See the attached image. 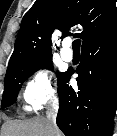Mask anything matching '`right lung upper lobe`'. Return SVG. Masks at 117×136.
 I'll return each mask as SVG.
<instances>
[{
	"label": "right lung upper lobe",
	"instance_id": "cb5924a9",
	"mask_svg": "<svg viewBox=\"0 0 117 136\" xmlns=\"http://www.w3.org/2000/svg\"><path fill=\"white\" fill-rule=\"evenodd\" d=\"M116 0H36L23 16L9 65L25 59L51 57V34L80 24L82 44L117 25Z\"/></svg>",
	"mask_w": 117,
	"mask_h": 136
}]
</instances>
